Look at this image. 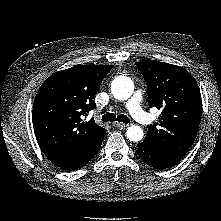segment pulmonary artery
<instances>
[{"instance_id": "pulmonary-artery-1", "label": "pulmonary artery", "mask_w": 221, "mask_h": 221, "mask_svg": "<svg viewBox=\"0 0 221 221\" xmlns=\"http://www.w3.org/2000/svg\"><path fill=\"white\" fill-rule=\"evenodd\" d=\"M142 94L140 91H136L134 95L126 103V108L131 115L141 124H150L152 118L141 107Z\"/></svg>"}]
</instances>
